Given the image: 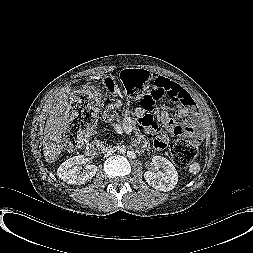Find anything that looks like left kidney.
I'll return each instance as SVG.
<instances>
[{"mask_svg": "<svg viewBox=\"0 0 253 253\" xmlns=\"http://www.w3.org/2000/svg\"><path fill=\"white\" fill-rule=\"evenodd\" d=\"M152 165L153 169L144 173L146 182L156 190L171 191L178 181V173L174 165L162 156H154Z\"/></svg>", "mask_w": 253, "mask_h": 253, "instance_id": "obj_1", "label": "left kidney"}]
</instances>
